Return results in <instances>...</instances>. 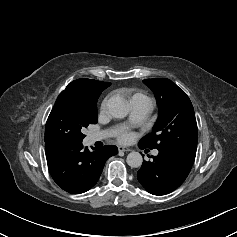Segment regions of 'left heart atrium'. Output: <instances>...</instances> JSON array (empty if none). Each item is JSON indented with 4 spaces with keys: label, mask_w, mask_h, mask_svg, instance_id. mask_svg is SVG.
Instances as JSON below:
<instances>
[{
    "label": "left heart atrium",
    "mask_w": 237,
    "mask_h": 237,
    "mask_svg": "<svg viewBox=\"0 0 237 237\" xmlns=\"http://www.w3.org/2000/svg\"><path fill=\"white\" fill-rule=\"evenodd\" d=\"M133 139L134 135L128 131H123L118 137L119 142L123 144L130 143Z\"/></svg>",
    "instance_id": "39dd6f15"
}]
</instances>
